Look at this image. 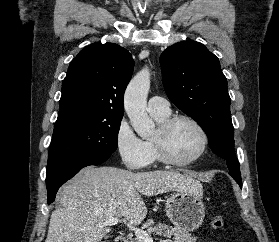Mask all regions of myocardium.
I'll return each mask as SVG.
<instances>
[{"instance_id": "myocardium-1", "label": "myocardium", "mask_w": 279, "mask_h": 242, "mask_svg": "<svg viewBox=\"0 0 279 242\" xmlns=\"http://www.w3.org/2000/svg\"><path fill=\"white\" fill-rule=\"evenodd\" d=\"M179 121H187L192 124L197 129L201 137V146L199 151L193 157L187 160H178L174 158L171 155L167 145L168 134L173 125ZM152 140L160 160L165 164L176 167L188 166L199 160L206 152L209 143L208 134L202 124L194 117L185 114L173 115L165 119L159 124L156 135Z\"/></svg>"}]
</instances>
